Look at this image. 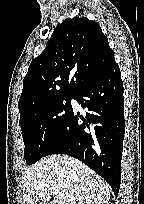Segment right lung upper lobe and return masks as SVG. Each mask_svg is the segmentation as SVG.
I'll use <instances>...</instances> for the list:
<instances>
[{"label": "right lung upper lobe", "mask_w": 144, "mask_h": 204, "mask_svg": "<svg viewBox=\"0 0 144 204\" xmlns=\"http://www.w3.org/2000/svg\"><path fill=\"white\" fill-rule=\"evenodd\" d=\"M113 61L108 39L96 22L66 19L28 68L18 102L20 116L55 97L75 95Z\"/></svg>", "instance_id": "1"}]
</instances>
